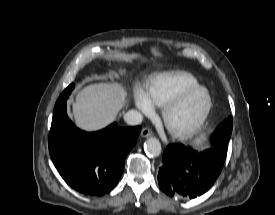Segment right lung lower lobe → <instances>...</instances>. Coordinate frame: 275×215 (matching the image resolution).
I'll use <instances>...</instances> for the list:
<instances>
[{
    "instance_id": "right-lung-lower-lobe-1",
    "label": "right lung lower lobe",
    "mask_w": 275,
    "mask_h": 215,
    "mask_svg": "<svg viewBox=\"0 0 275 215\" xmlns=\"http://www.w3.org/2000/svg\"><path fill=\"white\" fill-rule=\"evenodd\" d=\"M141 127L107 128L87 133L68 118L66 100L55 105L49 133L51 159L64 181L75 190L100 196L118 183L128 152Z\"/></svg>"
}]
</instances>
